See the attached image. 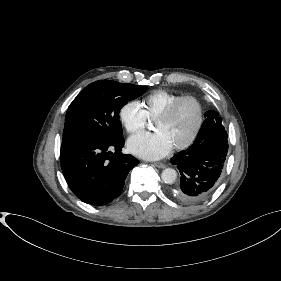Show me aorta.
Masks as SVG:
<instances>
[{"mask_svg": "<svg viewBox=\"0 0 281 281\" xmlns=\"http://www.w3.org/2000/svg\"><path fill=\"white\" fill-rule=\"evenodd\" d=\"M161 178L166 184H172L177 179V172L172 168H166L162 171Z\"/></svg>", "mask_w": 281, "mask_h": 281, "instance_id": "aorta-1", "label": "aorta"}]
</instances>
